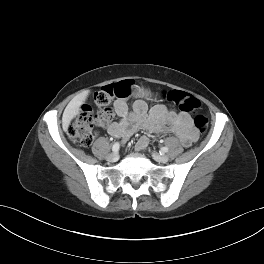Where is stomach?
Wrapping results in <instances>:
<instances>
[{
  "label": "stomach",
  "mask_w": 264,
  "mask_h": 264,
  "mask_svg": "<svg viewBox=\"0 0 264 264\" xmlns=\"http://www.w3.org/2000/svg\"><path fill=\"white\" fill-rule=\"evenodd\" d=\"M151 95L150 91L143 89L142 91L138 92V96H142V97H149Z\"/></svg>",
  "instance_id": "1"
}]
</instances>
